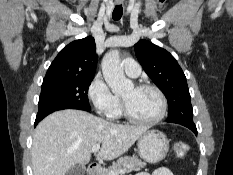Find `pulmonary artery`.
<instances>
[{"label": "pulmonary artery", "mask_w": 233, "mask_h": 175, "mask_svg": "<svg viewBox=\"0 0 233 175\" xmlns=\"http://www.w3.org/2000/svg\"><path fill=\"white\" fill-rule=\"evenodd\" d=\"M123 67L126 75L129 77L136 78L141 73L140 65L134 59H125L123 61Z\"/></svg>", "instance_id": "obj_1"}]
</instances>
